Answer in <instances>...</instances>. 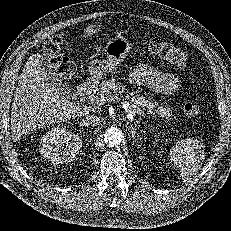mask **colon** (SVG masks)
Instances as JSON below:
<instances>
[{
	"label": "colon",
	"instance_id": "5ec220e1",
	"mask_svg": "<svg viewBox=\"0 0 231 231\" xmlns=\"http://www.w3.org/2000/svg\"><path fill=\"white\" fill-rule=\"evenodd\" d=\"M63 38L54 35L44 46V52L50 67L61 77L71 78L75 73L74 63L61 53ZM145 47L153 54H156L173 65L184 66L187 63V53L167 41L161 39H149ZM183 111L186 115L194 117L199 114L200 107L196 101L188 100L183 104Z\"/></svg>",
	"mask_w": 231,
	"mask_h": 231
}]
</instances>
